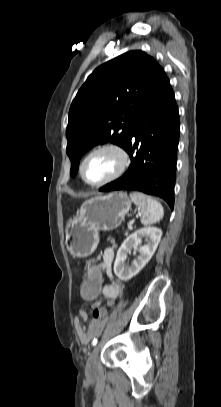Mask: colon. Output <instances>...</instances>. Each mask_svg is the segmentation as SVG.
<instances>
[{
    "label": "colon",
    "instance_id": "obj_1",
    "mask_svg": "<svg viewBox=\"0 0 221 407\" xmlns=\"http://www.w3.org/2000/svg\"><path fill=\"white\" fill-rule=\"evenodd\" d=\"M89 271H85L82 283L79 285L78 297L80 300H86V303H90V300H94L99 297L98 292L103 291V279L100 273V262L90 261ZM93 316L95 318H106L108 316L107 307L105 305H96L93 310Z\"/></svg>",
    "mask_w": 221,
    "mask_h": 407
}]
</instances>
